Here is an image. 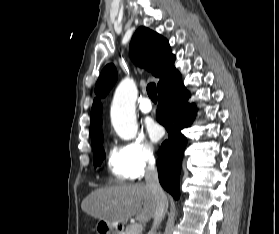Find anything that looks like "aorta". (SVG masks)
Listing matches in <instances>:
<instances>
[{
  "label": "aorta",
  "mask_w": 279,
  "mask_h": 234,
  "mask_svg": "<svg viewBox=\"0 0 279 234\" xmlns=\"http://www.w3.org/2000/svg\"><path fill=\"white\" fill-rule=\"evenodd\" d=\"M136 99L137 88L134 81L130 78L123 79L113 97L111 123L116 133L126 140L134 138L138 131L135 114Z\"/></svg>",
  "instance_id": "obj_1"
}]
</instances>
